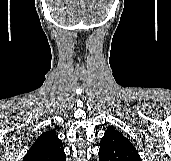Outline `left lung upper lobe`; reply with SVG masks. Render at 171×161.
Instances as JSON below:
<instances>
[{
	"mask_svg": "<svg viewBox=\"0 0 171 161\" xmlns=\"http://www.w3.org/2000/svg\"><path fill=\"white\" fill-rule=\"evenodd\" d=\"M99 161H142L136 148L116 130L108 126L100 142Z\"/></svg>",
	"mask_w": 171,
	"mask_h": 161,
	"instance_id": "1",
	"label": "left lung upper lobe"
}]
</instances>
